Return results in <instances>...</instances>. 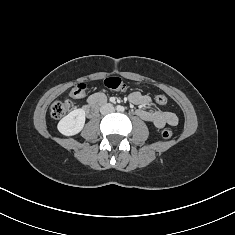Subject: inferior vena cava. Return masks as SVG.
<instances>
[{
  "label": "inferior vena cava",
  "instance_id": "1",
  "mask_svg": "<svg viewBox=\"0 0 235 235\" xmlns=\"http://www.w3.org/2000/svg\"><path fill=\"white\" fill-rule=\"evenodd\" d=\"M114 107L112 104L108 103V104H104L101 108H100V112L102 115H106L109 113L114 112Z\"/></svg>",
  "mask_w": 235,
  "mask_h": 235
}]
</instances>
